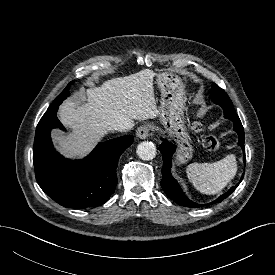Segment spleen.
I'll return each instance as SVG.
<instances>
[{
	"mask_svg": "<svg viewBox=\"0 0 275 275\" xmlns=\"http://www.w3.org/2000/svg\"><path fill=\"white\" fill-rule=\"evenodd\" d=\"M187 176L201 193H219L234 178L237 172L235 155H227L214 163H192L187 167Z\"/></svg>",
	"mask_w": 275,
	"mask_h": 275,
	"instance_id": "1",
	"label": "spleen"
}]
</instances>
